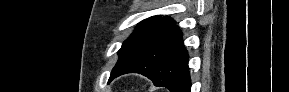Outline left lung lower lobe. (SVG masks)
<instances>
[{"label":"left lung lower lobe","instance_id":"1","mask_svg":"<svg viewBox=\"0 0 289 92\" xmlns=\"http://www.w3.org/2000/svg\"><path fill=\"white\" fill-rule=\"evenodd\" d=\"M131 72L148 77L155 86L166 87L170 92H190L188 53L176 24L168 28L133 61L114 71L110 80Z\"/></svg>","mask_w":289,"mask_h":92}]
</instances>
